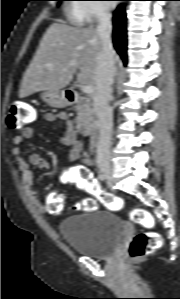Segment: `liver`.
Segmentation results:
<instances>
[{"label":"liver","instance_id":"liver-1","mask_svg":"<svg viewBox=\"0 0 180 299\" xmlns=\"http://www.w3.org/2000/svg\"><path fill=\"white\" fill-rule=\"evenodd\" d=\"M102 41L93 27H73L57 21L49 26L23 76L19 97L65 88L77 82L96 86ZM118 57L114 55L115 62Z\"/></svg>","mask_w":180,"mask_h":299}]
</instances>
